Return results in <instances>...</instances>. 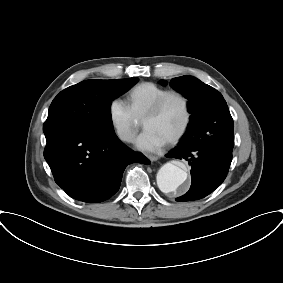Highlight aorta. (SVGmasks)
Listing matches in <instances>:
<instances>
[{
  "label": "aorta",
  "instance_id": "1",
  "mask_svg": "<svg viewBox=\"0 0 283 283\" xmlns=\"http://www.w3.org/2000/svg\"><path fill=\"white\" fill-rule=\"evenodd\" d=\"M188 178L186 168L173 163L164 164L157 173V185L164 193H178Z\"/></svg>",
  "mask_w": 283,
  "mask_h": 283
}]
</instances>
